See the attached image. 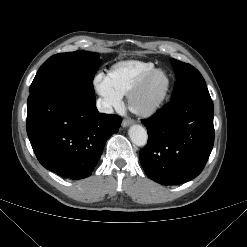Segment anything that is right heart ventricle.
<instances>
[{"label": "right heart ventricle", "instance_id": "e07e8e85", "mask_svg": "<svg viewBox=\"0 0 247 247\" xmlns=\"http://www.w3.org/2000/svg\"><path fill=\"white\" fill-rule=\"evenodd\" d=\"M155 65L152 62L125 60L113 65L108 71L112 88L121 96L131 93L149 74Z\"/></svg>", "mask_w": 247, "mask_h": 247}]
</instances>
